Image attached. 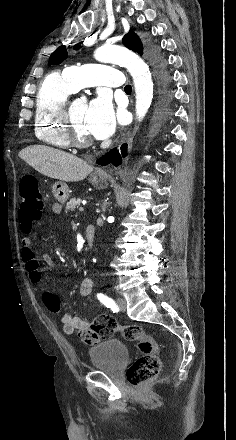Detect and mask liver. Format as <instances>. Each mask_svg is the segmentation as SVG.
<instances>
[{
	"label": "liver",
	"mask_w": 236,
	"mask_h": 440,
	"mask_svg": "<svg viewBox=\"0 0 236 440\" xmlns=\"http://www.w3.org/2000/svg\"><path fill=\"white\" fill-rule=\"evenodd\" d=\"M19 157L39 173L65 182H78L93 171V167L82 159L44 145L29 146Z\"/></svg>",
	"instance_id": "1"
}]
</instances>
